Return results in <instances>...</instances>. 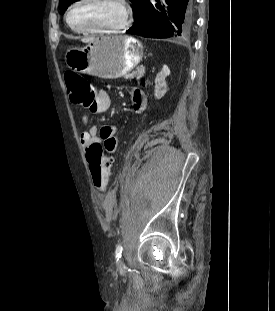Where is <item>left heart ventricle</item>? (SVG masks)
Here are the masks:
<instances>
[{
  "instance_id": "obj_1",
  "label": "left heart ventricle",
  "mask_w": 275,
  "mask_h": 311,
  "mask_svg": "<svg viewBox=\"0 0 275 311\" xmlns=\"http://www.w3.org/2000/svg\"><path fill=\"white\" fill-rule=\"evenodd\" d=\"M122 12L114 0H85L70 13V23L81 28L113 26L121 20Z\"/></svg>"
}]
</instances>
